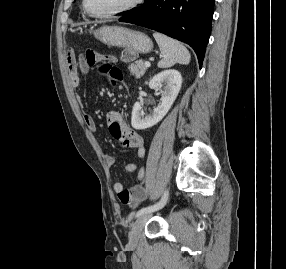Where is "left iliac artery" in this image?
Returning a JSON list of instances; mask_svg holds the SVG:
<instances>
[{"instance_id":"1","label":"left iliac artery","mask_w":286,"mask_h":269,"mask_svg":"<svg viewBox=\"0 0 286 269\" xmlns=\"http://www.w3.org/2000/svg\"><path fill=\"white\" fill-rule=\"evenodd\" d=\"M167 199H168V191H165L164 195L162 196L161 200L158 203L141 208L139 211H137L135 216L138 217L144 213L156 211L162 208L166 204Z\"/></svg>"}]
</instances>
